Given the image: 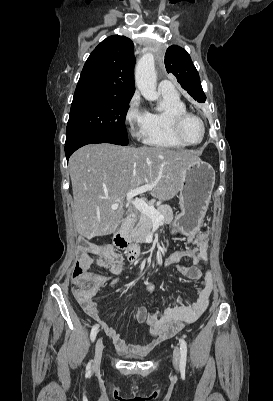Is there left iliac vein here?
Here are the masks:
<instances>
[{
    "label": "left iliac vein",
    "instance_id": "left-iliac-vein-1",
    "mask_svg": "<svg viewBox=\"0 0 273 401\" xmlns=\"http://www.w3.org/2000/svg\"><path fill=\"white\" fill-rule=\"evenodd\" d=\"M179 361H180V349L179 347L175 346L173 350V358L172 362L175 367V369L179 368Z\"/></svg>",
    "mask_w": 273,
    "mask_h": 401
}]
</instances>
